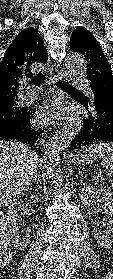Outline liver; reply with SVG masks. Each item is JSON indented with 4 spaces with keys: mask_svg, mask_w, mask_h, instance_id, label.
<instances>
[{
    "mask_svg": "<svg viewBox=\"0 0 113 279\" xmlns=\"http://www.w3.org/2000/svg\"><path fill=\"white\" fill-rule=\"evenodd\" d=\"M39 163L25 144L0 141V206L12 204L30 185Z\"/></svg>",
    "mask_w": 113,
    "mask_h": 279,
    "instance_id": "1",
    "label": "liver"
}]
</instances>
